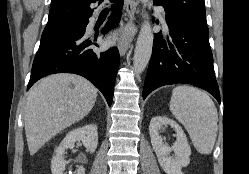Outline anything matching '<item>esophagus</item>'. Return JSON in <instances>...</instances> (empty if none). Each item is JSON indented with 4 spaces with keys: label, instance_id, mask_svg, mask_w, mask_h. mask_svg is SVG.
I'll list each match as a JSON object with an SVG mask.
<instances>
[{
    "label": "esophagus",
    "instance_id": "34e87169",
    "mask_svg": "<svg viewBox=\"0 0 249 174\" xmlns=\"http://www.w3.org/2000/svg\"><path fill=\"white\" fill-rule=\"evenodd\" d=\"M126 20L128 24H132L136 18L138 11L139 0H125ZM132 37L129 34H124L119 41L118 49L120 55H124L130 46Z\"/></svg>",
    "mask_w": 249,
    "mask_h": 174
}]
</instances>
